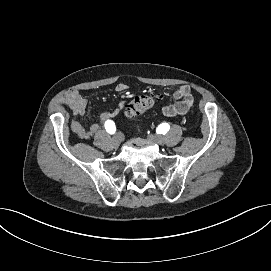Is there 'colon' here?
Instances as JSON below:
<instances>
[{
	"label": "colon",
	"instance_id": "5ec220e1",
	"mask_svg": "<svg viewBox=\"0 0 271 271\" xmlns=\"http://www.w3.org/2000/svg\"><path fill=\"white\" fill-rule=\"evenodd\" d=\"M157 98L154 95H140L131 100L125 107L128 117L138 116L152 108Z\"/></svg>",
	"mask_w": 271,
	"mask_h": 271
}]
</instances>
